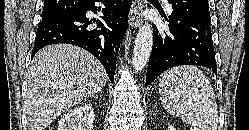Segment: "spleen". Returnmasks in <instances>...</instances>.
Wrapping results in <instances>:
<instances>
[{
  "mask_svg": "<svg viewBox=\"0 0 249 130\" xmlns=\"http://www.w3.org/2000/svg\"><path fill=\"white\" fill-rule=\"evenodd\" d=\"M160 100L165 110L191 124V130H216L218 111L214 90L196 66H177L160 77Z\"/></svg>",
  "mask_w": 249,
  "mask_h": 130,
  "instance_id": "spleen-1",
  "label": "spleen"
}]
</instances>
